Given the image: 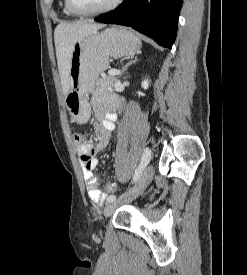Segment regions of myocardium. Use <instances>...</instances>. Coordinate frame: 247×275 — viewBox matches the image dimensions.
<instances>
[{"mask_svg": "<svg viewBox=\"0 0 247 275\" xmlns=\"http://www.w3.org/2000/svg\"><path fill=\"white\" fill-rule=\"evenodd\" d=\"M67 7L69 8L70 11H72L76 15L80 16H96V15H101L107 12H110L114 10L121 2V0H112L109 4L106 6L92 10V11H83L78 9L77 7L74 6L72 0H65Z\"/></svg>", "mask_w": 247, "mask_h": 275, "instance_id": "f54148a6", "label": "myocardium"}]
</instances>
